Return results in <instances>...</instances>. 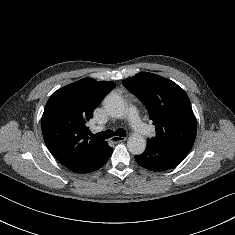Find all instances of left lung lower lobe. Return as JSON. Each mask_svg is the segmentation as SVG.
I'll return each instance as SVG.
<instances>
[{
    "instance_id": "obj_1",
    "label": "left lung lower lobe",
    "mask_w": 235,
    "mask_h": 235,
    "mask_svg": "<svg viewBox=\"0 0 235 235\" xmlns=\"http://www.w3.org/2000/svg\"><path fill=\"white\" fill-rule=\"evenodd\" d=\"M187 154L182 150L147 142L144 153L135 156V160L148 170L165 171L182 162Z\"/></svg>"
}]
</instances>
